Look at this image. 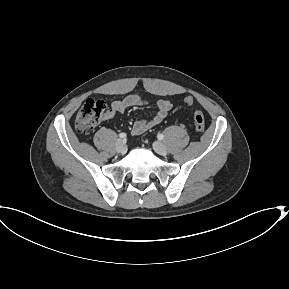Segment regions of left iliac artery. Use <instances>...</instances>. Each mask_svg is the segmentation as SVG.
Here are the masks:
<instances>
[{
	"mask_svg": "<svg viewBox=\"0 0 289 289\" xmlns=\"http://www.w3.org/2000/svg\"><path fill=\"white\" fill-rule=\"evenodd\" d=\"M157 137L159 140H162L164 138L163 134H160V133L157 135Z\"/></svg>",
	"mask_w": 289,
	"mask_h": 289,
	"instance_id": "left-iliac-artery-1",
	"label": "left iliac artery"
}]
</instances>
